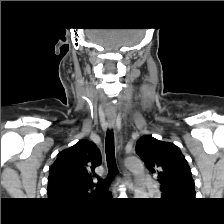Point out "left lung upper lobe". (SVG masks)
Here are the masks:
<instances>
[{
  "instance_id": "5c2ea615",
  "label": "left lung upper lobe",
  "mask_w": 224,
  "mask_h": 224,
  "mask_svg": "<svg viewBox=\"0 0 224 224\" xmlns=\"http://www.w3.org/2000/svg\"><path fill=\"white\" fill-rule=\"evenodd\" d=\"M136 152L148 170L158 174L162 195L195 198L191 169L177 146L145 135L137 141Z\"/></svg>"
}]
</instances>
